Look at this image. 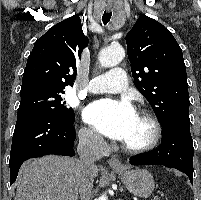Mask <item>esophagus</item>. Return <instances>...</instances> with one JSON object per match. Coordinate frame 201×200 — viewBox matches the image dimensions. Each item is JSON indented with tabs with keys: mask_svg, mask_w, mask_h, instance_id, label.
I'll return each instance as SVG.
<instances>
[{
	"mask_svg": "<svg viewBox=\"0 0 201 200\" xmlns=\"http://www.w3.org/2000/svg\"><path fill=\"white\" fill-rule=\"evenodd\" d=\"M108 163H109L110 167L113 169H122L123 168L120 160L117 157L110 158L108 160Z\"/></svg>",
	"mask_w": 201,
	"mask_h": 200,
	"instance_id": "1",
	"label": "esophagus"
}]
</instances>
